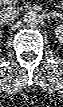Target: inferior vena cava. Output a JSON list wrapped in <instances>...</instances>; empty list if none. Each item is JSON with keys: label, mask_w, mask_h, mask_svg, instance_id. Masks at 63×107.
I'll list each match as a JSON object with an SVG mask.
<instances>
[{"label": "inferior vena cava", "mask_w": 63, "mask_h": 107, "mask_svg": "<svg viewBox=\"0 0 63 107\" xmlns=\"http://www.w3.org/2000/svg\"><path fill=\"white\" fill-rule=\"evenodd\" d=\"M18 16V11L14 7H5L0 10V21L8 23L14 20Z\"/></svg>", "instance_id": "1"}]
</instances>
